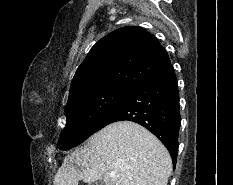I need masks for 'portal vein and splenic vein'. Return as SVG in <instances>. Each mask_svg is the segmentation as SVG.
<instances>
[{"instance_id":"portal-vein-and-splenic-vein-1","label":"portal vein and splenic vein","mask_w":233,"mask_h":185,"mask_svg":"<svg viewBox=\"0 0 233 185\" xmlns=\"http://www.w3.org/2000/svg\"><path fill=\"white\" fill-rule=\"evenodd\" d=\"M113 175H114L113 173L110 174V176H113Z\"/></svg>"}]
</instances>
